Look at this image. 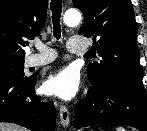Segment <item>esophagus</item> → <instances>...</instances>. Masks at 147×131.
Wrapping results in <instances>:
<instances>
[{
  "label": "esophagus",
  "mask_w": 147,
  "mask_h": 131,
  "mask_svg": "<svg viewBox=\"0 0 147 131\" xmlns=\"http://www.w3.org/2000/svg\"><path fill=\"white\" fill-rule=\"evenodd\" d=\"M59 117L61 125L63 127H67L70 123V112L69 109L63 104H60L59 107Z\"/></svg>",
  "instance_id": "34e87169"
}]
</instances>
